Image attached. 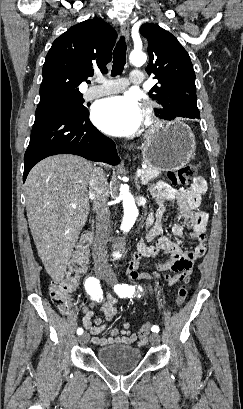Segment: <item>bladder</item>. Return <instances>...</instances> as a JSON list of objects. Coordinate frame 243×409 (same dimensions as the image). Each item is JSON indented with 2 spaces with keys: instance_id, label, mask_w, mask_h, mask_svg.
<instances>
[{
  "instance_id": "bladder-1",
  "label": "bladder",
  "mask_w": 243,
  "mask_h": 409,
  "mask_svg": "<svg viewBox=\"0 0 243 409\" xmlns=\"http://www.w3.org/2000/svg\"><path fill=\"white\" fill-rule=\"evenodd\" d=\"M96 359L112 372H125L139 365L142 351L131 345L114 343L97 349Z\"/></svg>"
}]
</instances>
